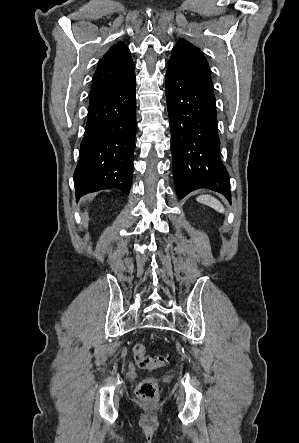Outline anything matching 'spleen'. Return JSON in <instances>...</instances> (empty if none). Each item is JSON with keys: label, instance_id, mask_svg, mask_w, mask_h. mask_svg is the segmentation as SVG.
Returning a JSON list of instances; mask_svg holds the SVG:
<instances>
[{"label": "spleen", "instance_id": "spleen-1", "mask_svg": "<svg viewBox=\"0 0 299 443\" xmlns=\"http://www.w3.org/2000/svg\"><path fill=\"white\" fill-rule=\"evenodd\" d=\"M197 201L205 204L211 208H213L214 210H216L217 212L220 213H224L225 209L224 206L221 204V202L219 200H217L216 198H214L213 196L210 195H200L197 197Z\"/></svg>", "mask_w": 299, "mask_h": 443}]
</instances>
